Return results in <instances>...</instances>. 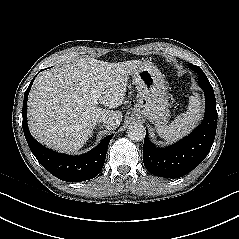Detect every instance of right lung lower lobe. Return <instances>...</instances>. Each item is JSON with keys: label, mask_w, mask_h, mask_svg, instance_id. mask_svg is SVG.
<instances>
[{"label": "right lung lower lobe", "mask_w": 239, "mask_h": 239, "mask_svg": "<svg viewBox=\"0 0 239 239\" xmlns=\"http://www.w3.org/2000/svg\"><path fill=\"white\" fill-rule=\"evenodd\" d=\"M33 80L24 94L22 109V127L31 152L46 170L63 181L80 182L96 177L103 168L108 144L113 135L106 136L98 146L80 156L60 154L38 143L27 125V98Z\"/></svg>", "instance_id": "98d812e1"}]
</instances>
